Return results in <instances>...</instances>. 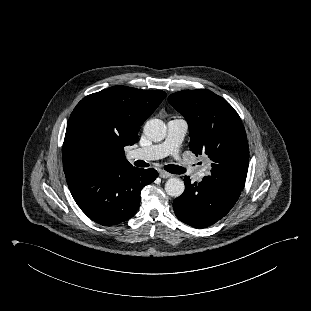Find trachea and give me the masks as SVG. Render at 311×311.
<instances>
[{"instance_id":"trachea-1","label":"trachea","mask_w":311,"mask_h":311,"mask_svg":"<svg viewBox=\"0 0 311 311\" xmlns=\"http://www.w3.org/2000/svg\"><path fill=\"white\" fill-rule=\"evenodd\" d=\"M137 166L139 167H148L149 164L144 162V161H137ZM164 169L172 174H183L186 169L177 165H173V164H169V165H165Z\"/></svg>"}]
</instances>
